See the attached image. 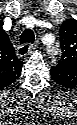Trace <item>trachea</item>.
<instances>
[{
  "mask_svg": "<svg viewBox=\"0 0 77 125\" xmlns=\"http://www.w3.org/2000/svg\"><path fill=\"white\" fill-rule=\"evenodd\" d=\"M35 39L34 33L30 29H26L20 36V43H33Z\"/></svg>",
  "mask_w": 77,
  "mask_h": 125,
  "instance_id": "obj_1",
  "label": "trachea"
}]
</instances>
